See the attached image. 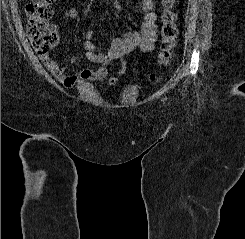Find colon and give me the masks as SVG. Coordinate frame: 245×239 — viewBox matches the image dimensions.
I'll list each match as a JSON object with an SVG mask.
<instances>
[{
	"instance_id": "obj_1",
	"label": "colon",
	"mask_w": 245,
	"mask_h": 239,
	"mask_svg": "<svg viewBox=\"0 0 245 239\" xmlns=\"http://www.w3.org/2000/svg\"><path fill=\"white\" fill-rule=\"evenodd\" d=\"M55 0H31L26 6L28 15L27 35L37 52L42 56H48L51 49L58 43V35L49 25L53 15L52 3ZM176 0H162L161 15V42L158 51L157 61L159 66L166 67L174 56V49L178 37L176 25L177 15L174 12ZM152 82H157L156 75L150 76Z\"/></svg>"
}]
</instances>
